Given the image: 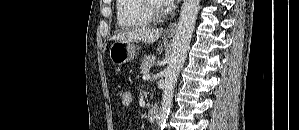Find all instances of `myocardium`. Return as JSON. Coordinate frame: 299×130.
Returning a JSON list of instances; mask_svg holds the SVG:
<instances>
[{
	"mask_svg": "<svg viewBox=\"0 0 299 130\" xmlns=\"http://www.w3.org/2000/svg\"><path fill=\"white\" fill-rule=\"evenodd\" d=\"M145 8L147 13L154 19L163 18L167 14V7L161 0H147Z\"/></svg>",
	"mask_w": 299,
	"mask_h": 130,
	"instance_id": "1",
	"label": "myocardium"
}]
</instances>
